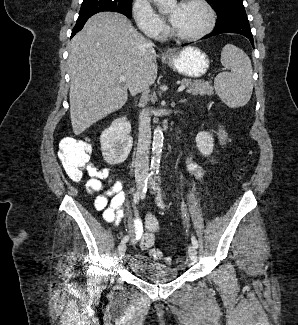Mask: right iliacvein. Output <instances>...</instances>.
<instances>
[{"label": "right iliac vein", "instance_id": "63e3f726", "mask_svg": "<svg viewBox=\"0 0 298 325\" xmlns=\"http://www.w3.org/2000/svg\"><path fill=\"white\" fill-rule=\"evenodd\" d=\"M144 185V177H138L136 179V186L138 190H141ZM126 252V243L121 242L118 246V256L119 260H122Z\"/></svg>", "mask_w": 298, "mask_h": 325}]
</instances>
